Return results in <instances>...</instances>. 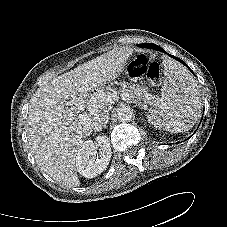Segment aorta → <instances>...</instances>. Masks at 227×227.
<instances>
[{"label": "aorta", "mask_w": 227, "mask_h": 227, "mask_svg": "<svg viewBox=\"0 0 227 227\" xmlns=\"http://www.w3.org/2000/svg\"><path fill=\"white\" fill-rule=\"evenodd\" d=\"M117 118L121 122H129L133 118V111L129 107H121L117 110Z\"/></svg>", "instance_id": "obj_1"}]
</instances>
